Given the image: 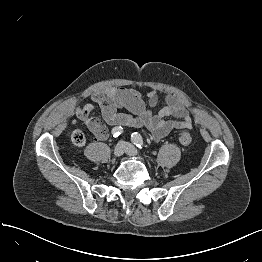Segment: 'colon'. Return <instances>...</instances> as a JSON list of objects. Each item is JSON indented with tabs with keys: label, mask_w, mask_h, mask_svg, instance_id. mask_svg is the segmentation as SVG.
Masks as SVG:
<instances>
[{
	"label": "colon",
	"mask_w": 262,
	"mask_h": 262,
	"mask_svg": "<svg viewBox=\"0 0 262 262\" xmlns=\"http://www.w3.org/2000/svg\"><path fill=\"white\" fill-rule=\"evenodd\" d=\"M177 137L182 145L188 146L192 141V136L189 127L185 126L180 128L178 130ZM71 141L75 147L77 148L83 147L86 142L84 132L80 129L74 130L73 133L71 134Z\"/></svg>",
	"instance_id": "5ec220e1"
}]
</instances>
